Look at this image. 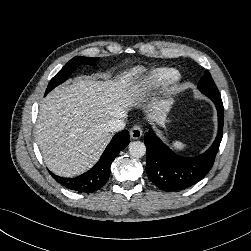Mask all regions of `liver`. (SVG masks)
<instances>
[{"label":"liver","instance_id":"liver-1","mask_svg":"<svg viewBox=\"0 0 251 251\" xmlns=\"http://www.w3.org/2000/svg\"><path fill=\"white\" fill-rule=\"evenodd\" d=\"M146 69L141 66L113 80L79 77L59 86L42 101L36 137L48 168L63 177L80 175L99 159L111 140L108 122L126 114L145 92L134 84ZM134 77V78H133ZM169 101L154 106L150 119L164 120Z\"/></svg>","mask_w":251,"mask_h":251}]
</instances>
